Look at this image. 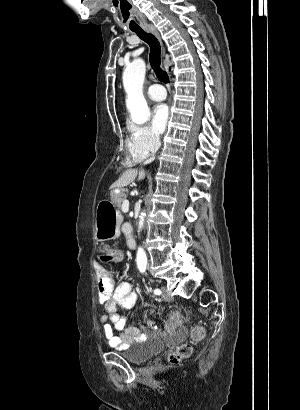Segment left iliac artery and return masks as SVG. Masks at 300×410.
Returning a JSON list of instances; mask_svg holds the SVG:
<instances>
[{
  "mask_svg": "<svg viewBox=\"0 0 300 410\" xmlns=\"http://www.w3.org/2000/svg\"><path fill=\"white\" fill-rule=\"evenodd\" d=\"M161 293H162L161 290L158 289V288H156V289L154 290V294H155V295H160Z\"/></svg>",
  "mask_w": 300,
  "mask_h": 410,
  "instance_id": "1",
  "label": "left iliac artery"
}]
</instances>
